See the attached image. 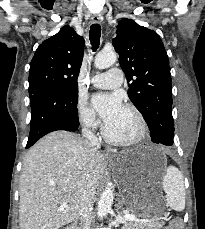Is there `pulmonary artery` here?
<instances>
[{
	"mask_svg": "<svg viewBox=\"0 0 205 229\" xmlns=\"http://www.w3.org/2000/svg\"><path fill=\"white\" fill-rule=\"evenodd\" d=\"M123 72L119 68H111L107 72L96 74L92 77V84L97 88L111 89L121 85Z\"/></svg>",
	"mask_w": 205,
	"mask_h": 229,
	"instance_id": "e3ab8cb5",
	"label": "pulmonary artery"
}]
</instances>
